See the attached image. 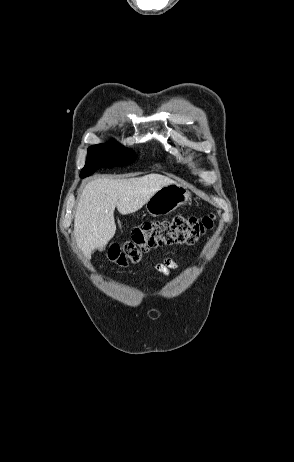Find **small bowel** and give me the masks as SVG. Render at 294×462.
<instances>
[{"label":"small bowel","instance_id":"obj_1","mask_svg":"<svg viewBox=\"0 0 294 462\" xmlns=\"http://www.w3.org/2000/svg\"><path fill=\"white\" fill-rule=\"evenodd\" d=\"M177 263L171 258H165L154 265V269L164 276H169L170 272L177 268Z\"/></svg>","mask_w":294,"mask_h":462}]
</instances>
